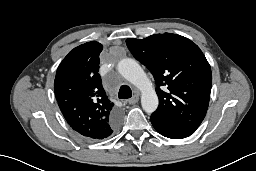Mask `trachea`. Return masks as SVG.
I'll return each mask as SVG.
<instances>
[{
  "instance_id": "obj_1",
  "label": "trachea",
  "mask_w": 256,
  "mask_h": 171,
  "mask_svg": "<svg viewBox=\"0 0 256 171\" xmlns=\"http://www.w3.org/2000/svg\"><path fill=\"white\" fill-rule=\"evenodd\" d=\"M131 96H132L131 88L127 85H122L120 87L118 97L120 99H128V98H131Z\"/></svg>"
}]
</instances>
